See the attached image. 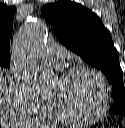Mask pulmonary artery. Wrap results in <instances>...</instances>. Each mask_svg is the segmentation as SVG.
I'll use <instances>...</instances> for the list:
<instances>
[{
    "mask_svg": "<svg viewBox=\"0 0 125 128\" xmlns=\"http://www.w3.org/2000/svg\"><path fill=\"white\" fill-rule=\"evenodd\" d=\"M66 55L67 51L59 45H47L43 53L45 60L54 67H61Z\"/></svg>",
    "mask_w": 125,
    "mask_h": 128,
    "instance_id": "1",
    "label": "pulmonary artery"
}]
</instances>
